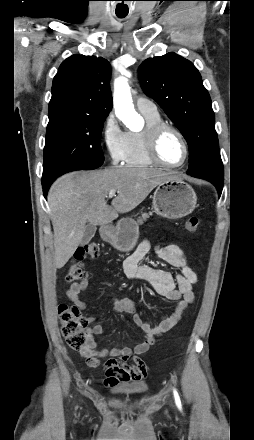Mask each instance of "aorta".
I'll return each instance as SVG.
<instances>
[{
    "instance_id": "aorta-1",
    "label": "aorta",
    "mask_w": 254,
    "mask_h": 440,
    "mask_svg": "<svg viewBox=\"0 0 254 440\" xmlns=\"http://www.w3.org/2000/svg\"><path fill=\"white\" fill-rule=\"evenodd\" d=\"M127 79L119 77L114 81L113 103L116 116L130 130H138L143 124V119L135 111L132 96L128 89Z\"/></svg>"
}]
</instances>
